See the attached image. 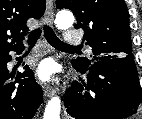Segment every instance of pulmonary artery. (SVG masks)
I'll use <instances>...</instances> for the list:
<instances>
[{
    "label": "pulmonary artery",
    "mask_w": 142,
    "mask_h": 119,
    "mask_svg": "<svg viewBox=\"0 0 142 119\" xmlns=\"http://www.w3.org/2000/svg\"><path fill=\"white\" fill-rule=\"evenodd\" d=\"M82 42V36L80 32L75 30H69L65 33L64 43L67 45H79Z\"/></svg>",
    "instance_id": "e3ab8cb5"
}]
</instances>
